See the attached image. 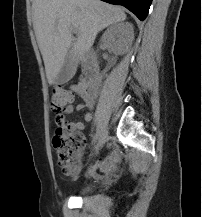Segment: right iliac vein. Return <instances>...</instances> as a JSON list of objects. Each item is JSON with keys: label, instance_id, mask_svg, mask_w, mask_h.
<instances>
[{"label": "right iliac vein", "instance_id": "obj_1", "mask_svg": "<svg viewBox=\"0 0 202 217\" xmlns=\"http://www.w3.org/2000/svg\"><path fill=\"white\" fill-rule=\"evenodd\" d=\"M107 138H108V130L104 129L102 130L100 134L98 144H97V150H99V148H101L105 144V142L107 141Z\"/></svg>", "mask_w": 202, "mask_h": 217}]
</instances>
